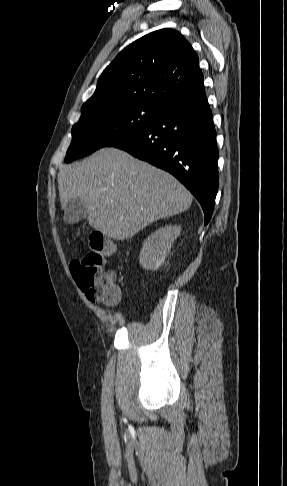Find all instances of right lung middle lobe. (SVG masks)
I'll use <instances>...</instances> for the list:
<instances>
[{
  "label": "right lung middle lobe",
  "instance_id": "dd1d6c3e",
  "mask_svg": "<svg viewBox=\"0 0 287 486\" xmlns=\"http://www.w3.org/2000/svg\"><path fill=\"white\" fill-rule=\"evenodd\" d=\"M165 110L166 107L149 101L112 102L81 110V117L72 128L65 162L134 138Z\"/></svg>",
  "mask_w": 287,
  "mask_h": 486
}]
</instances>
